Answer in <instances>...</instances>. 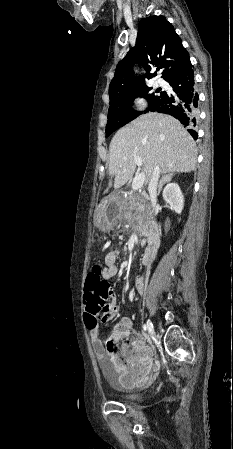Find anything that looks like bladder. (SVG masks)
Returning <instances> with one entry per match:
<instances>
[{
    "label": "bladder",
    "instance_id": "31cf9c89",
    "mask_svg": "<svg viewBox=\"0 0 233 449\" xmlns=\"http://www.w3.org/2000/svg\"><path fill=\"white\" fill-rule=\"evenodd\" d=\"M110 383L114 390V394L118 398L122 399L124 402L130 403V402H135L137 400L138 396L134 392H132L128 389H125L121 385L114 383L112 381Z\"/></svg>",
    "mask_w": 233,
    "mask_h": 449
}]
</instances>
